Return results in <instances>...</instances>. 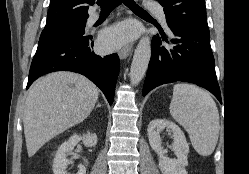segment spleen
Returning <instances> with one entry per match:
<instances>
[{"label":"spleen","instance_id":"spleen-1","mask_svg":"<svg viewBox=\"0 0 249 174\" xmlns=\"http://www.w3.org/2000/svg\"><path fill=\"white\" fill-rule=\"evenodd\" d=\"M170 113L189 133L191 143L201 156L211 155L219 137V113L210 94L192 84L173 88Z\"/></svg>","mask_w":249,"mask_h":174}]
</instances>
